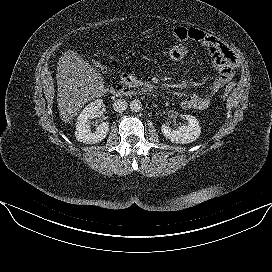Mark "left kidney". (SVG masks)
Here are the masks:
<instances>
[{"label": "left kidney", "mask_w": 272, "mask_h": 272, "mask_svg": "<svg viewBox=\"0 0 272 272\" xmlns=\"http://www.w3.org/2000/svg\"><path fill=\"white\" fill-rule=\"evenodd\" d=\"M187 123L174 129L168 123H164L161 127L163 135L171 142L177 144H187L199 138L201 128L199 121L191 115H185Z\"/></svg>", "instance_id": "5707ae66"}]
</instances>
